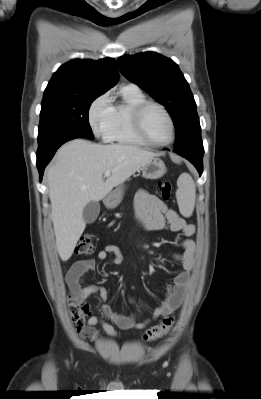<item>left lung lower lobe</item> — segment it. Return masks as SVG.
I'll return each mask as SVG.
<instances>
[{"instance_id": "obj_1", "label": "left lung lower lobe", "mask_w": 261, "mask_h": 399, "mask_svg": "<svg viewBox=\"0 0 261 399\" xmlns=\"http://www.w3.org/2000/svg\"><path fill=\"white\" fill-rule=\"evenodd\" d=\"M180 156L188 159L198 170L199 175L201 176L202 171H203V153L200 152H193V153H188V152H176Z\"/></svg>"}]
</instances>
